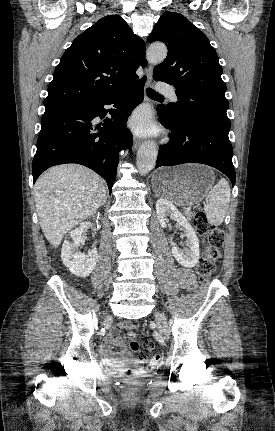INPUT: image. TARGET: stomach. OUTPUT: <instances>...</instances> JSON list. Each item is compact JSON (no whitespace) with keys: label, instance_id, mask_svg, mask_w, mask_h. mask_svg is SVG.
I'll return each mask as SVG.
<instances>
[{"label":"stomach","instance_id":"0dacf381","mask_svg":"<svg viewBox=\"0 0 275 431\" xmlns=\"http://www.w3.org/2000/svg\"><path fill=\"white\" fill-rule=\"evenodd\" d=\"M211 168L202 164H185L157 170L152 177L155 193L177 205H195L204 199L214 184Z\"/></svg>","mask_w":275,"mask_h":431}]
</instances>
